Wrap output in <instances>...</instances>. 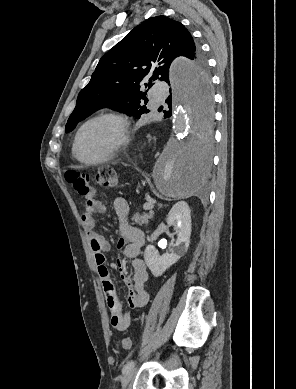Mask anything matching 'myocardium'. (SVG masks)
<instances>
[{
    "label": "myocardium",
    "mask_w": 296,
    "mask_h": 389,
    "mask_svg": "<svg viewBox=\"0 0 296 389\" xmlns=\"http://www.w3.org/2000/svg\"><path fill=\"white\" fill-rule=\"evenodd\" d=\"M103 119H109L116 123L119 131L118 140L105 154H103L101 157L97 159L86 160L81 158L78 153V145H79L82 132L90 124ZM128 141H129V128H128V120L126 116L122 113L114 112V111L103 112L88 119L80 126V128L78 129L75 135V139L73 143V154L75 158L83 164L96 165V164L103 163L111 159L112 157H114L122 148H124L127 145Z\"/></svg>",
    "instance_id": "f54148a6"
}]
</instances>
